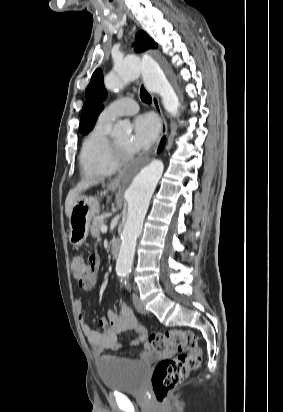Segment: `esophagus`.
<instances>
[{
	"mask_svg": "<svg viewBox=\"0 0 283 412\" xmlns=\"http://www.w3.org/2000/svg\"><path fill=\"white\" fill-rule=\"evenodd\" d=\"M151 97H152L153 106H154L155 110L157 111V113L159 114L160 121H161V128H160L159 139H158L157 145L155 146V148H154L153 151H152V153H155V152L157 151V148H158V145H159L160 140L167 134V129H168V128H167V122H166V119H165V117H164V115H163V112H162V109H161V106H160V102H159L158 97H157L156 95H154V94H151ZM123 176H124V173H119V174L110 182V185H112V186L119 185V184L121 183V181H122Z\"/></svg>",
	"mask_w": 283,
	"mask_h": 412,
	"instance_id": "esophagus-1",
	"label": "esophagus"
}]
</instances>
